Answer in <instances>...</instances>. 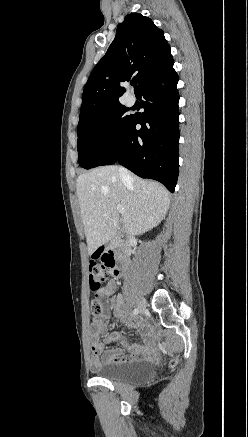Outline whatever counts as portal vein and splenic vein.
Instances as JSON below:
<instances>
[{
  "instance_id": "1",
  "label": "portal vein and splenic vein",
  "mask_w": 248,
  "mask_h": 437,
  "mask_svg": "<svg viewBox=\"0 0 248 437\" xmlns=\"http://www.w3.org/2000/svg\"><path fill=\"white\" fill-rule=\"evenodd\" d=\"M116 208H117V211H118L119 213H121L122 215H124L125 210H124V208H123L122 206H117Z\"/></svg>"
}]
</instances>
